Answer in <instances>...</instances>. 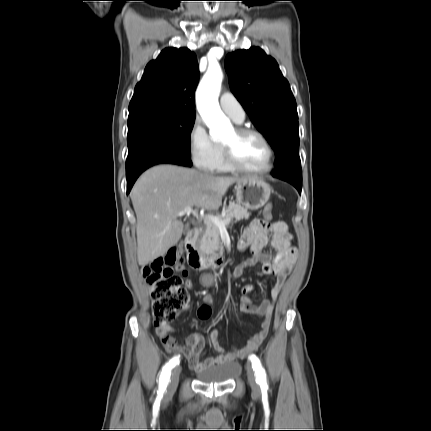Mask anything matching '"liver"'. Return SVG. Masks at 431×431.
I'll return each mask as SVG.
<instances>
[{
	"instance_id": "obj_1",
	"label": "liver",
	"mask_w": 431,
	"mask_h": 431,
	"mask_svg": "<svg viewBox=\"0 0 431 431\" xmlns=\"http://www.w3.org/2000/svg\"><path fill=\"white\" fill-rule=\"evenodd\" d=\"M242 179L174 165H158L143 173L131 191L139 265L153 262L178 243L184 229L178 212L188 206L217 210L229 186Z\"/></svg>"
}]
</instances>
